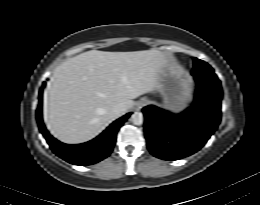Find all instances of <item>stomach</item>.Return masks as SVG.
I'll return each instance as SVG.
<instances>
[{
	"mask_svg": "<svg viewBox=\"0 0 260 205\" xmlns=\"http://www.w3.org/2000/svg\"><path fill=\"white\" fill-rule=\"evenodd\" d=\"M157 78L163 106L174 112L182 111L190 99V84L180 68L168 59L160 68Z\"/></svg>",
	"mask_w": 260,
	"mask_h": 205,
	"instance_id": "obj_1",
	"label": "stomach"
}]
</instances>
